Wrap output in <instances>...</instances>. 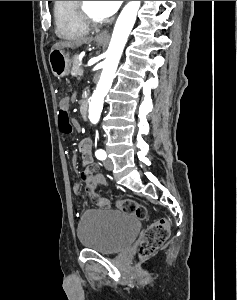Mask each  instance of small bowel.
Listing matches in <instances>:
<instances>
[{
	"mask_svg": "<svg viewBox=\"0 0 237 300\" xmlns=\"http://www.w3.org/2000/svg\"><path fill=\"white\" fill-rule=\"evenodd\" d=\"M68 104H69L68 99L64 98L60 102V107L68 108ZM92 144H93L92 138L87 137V138L82 139L79 142L78 148H77L78 152L81 155L82 164L84 166L88 167L90 170H94V167L92 165V163H93L92 152H91L92 151ZM72 188H73V191L75 193L78 194L80 192L79 183L74 182L73 185H72ZM97 205L99 207H102V208H107V207H109V201L106 200V199H98L97 200Z\"/></svg>",
	"mask_w": 237,
	"mask_h": 300,
	"instance_id": "small-bowel-1",
	"label": "small bowel"
}]
</instances>
